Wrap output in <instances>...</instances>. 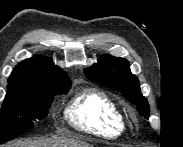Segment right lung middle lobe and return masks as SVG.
<instances>
[{"mask_svg":"<svg viewBox=\"0 0 183 147\" xmlns=\"http://www.w3.org/2000/svg\"><path fill=\"white\" fill-rule=\"evenodd\" d=\"M70 85L8 88L0 115V144L32 129L36 119L47 116L54 95L67 92Z\"/></svg>","mask_w":183,"mask_h":147,"instance_id":"dd1d6c3e","label":"right lung middle lobe"}]
</instances>
